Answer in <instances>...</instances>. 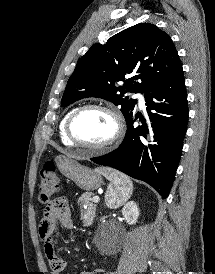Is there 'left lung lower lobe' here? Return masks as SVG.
Returning a JSON list of instances; mask_svg holds the SVG:
<instances>
[{
	"mask_svg": "<svg viewBox=\"0 0 215 274\" xmlns=\"http://www.w3.org/2000/svg\"><path fill=\"white\" fill-rule=\"evenodd\" d=\"M148 120L134 113L127 118L123 143L109 154L91 158L151 185L163 197L169 195L181 158L188 123V104L182 66L159 85L145 92Z\"/></svg>",
	"mask_w": 215,
	"mask_h": 274,
	"instance_id": "left-lung-lower-lobe-1",
	"label": "left lung lower lobe"
}]
</instances>
